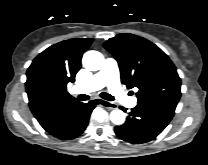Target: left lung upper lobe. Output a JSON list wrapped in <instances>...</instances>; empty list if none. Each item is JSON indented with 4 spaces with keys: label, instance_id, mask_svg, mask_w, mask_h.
<instances>
[{
    "label": "left lung upper lobe",
    "instance_id": "5c2ea615",
    "mask_svg": "<svg viewBox=\"0 0 208 165\" xmlns=\"http://www.w3.org/2000/svg\"><path fill=\"white\" fill-rule=\"evenodd\" d=\"M118 62L121 81L137 87L138 105L176 107L181 80L169 57L155 44L137 35L123 33L104 43Z\"/></svg>",
    "mask_w": 208,
    "mask_h": 165
}]
</instances>
